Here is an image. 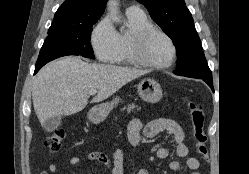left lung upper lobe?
Masks as SVG:
<instances>
[{"instance_id": "left-lung-upper-lobe-1", "label": "left lung upper lobe", "mask_w": 249, "mask_h": 174, "mask_svg": "<svg viewBox=\"0 0 249 174\" xmlns=\"http://www.w3.org/2000/svg\"><path fill=\"white\" fill-rule=\"evenodd\" d=\"M137 1L147 8L151 18L173 40L177 51V69L174 74L212 79L192 15L184 0Z\"/></svg>"}]
</instances>
